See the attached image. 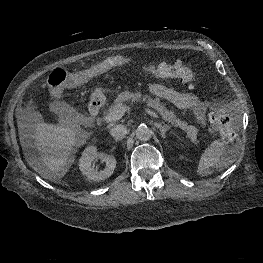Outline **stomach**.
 Returning a JSON list of instances; mask_svg holds the SVG:
<instances>
[{"label":"stomach","instance_id":"stomach-1","mask_svg":"<svg viewBox=\"0 0 263 263\" xmlns=\"http://www.w3.org/2000/svg\"><path fill=\"white\" fill-rule=\"evenodd\" d=\"M93 99L103 100L105 99L103 90L101 88H96L92 93Z\"/></svg>","mask_w":263,"mask_h":263}]
</instances>
